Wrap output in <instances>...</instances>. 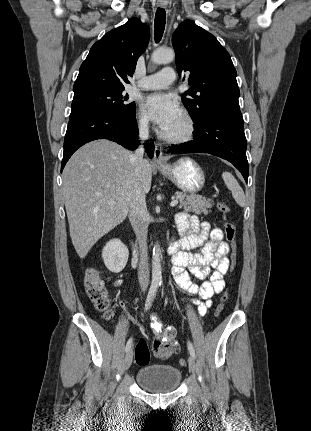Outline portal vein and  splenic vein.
Listing matches in <instances>:
<instances>
[{
    "instance_id": "1",
    "label": "portal vein and splenic vein",
    "mask_w": 311,
    "mask_h": 431,
    "mask_svg": "<svg viewBox=\"0 0 311 431\" xmlns=\"http://www.w3.org/2000/svg\"><path fill=\"white\" fill-rule=\"evenodd\" d=\"M179 204V200H172L170 206L171 208H174V206H177ZM109 206H114V202H109Z\"/></svg>"
}]
</instances>
